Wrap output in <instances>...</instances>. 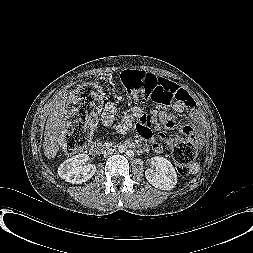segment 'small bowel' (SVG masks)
I'll use <instances>...</instances> for the list:
<instances>
[{
    "label": "small bowel",
    "mask_w": 253,
    "mask_h": 253,
    "mask_svg": "<svg viewBox=\"0 0 253 253\" xmlns=\"http://www.w3.org/2000/svg\"><path fill=\"white\" fill-rule=\"evenodd\" d=\"M177 86V85H176ZM178 87V86H177ZM179 91L172 97V110L176 113H184L189 111L192 121L200 119V113L193 109V97L186 90L178 87ZM117 104L114 102L108 103L102 113V121L104 125L109 126L113 123L117 113ZM133 115L136 118V129L139 135L152 141L154 150L160 152L168 144V141L162 137H155L150 127L161 125L167 130L179 129L183 133L192 136L194 129L191 123L180 124L167 110L160 111L157 115H148L139 107L133 109Z\"/></svg>",
    "instance_id": "small-bowel-1"
}]
</instances>
